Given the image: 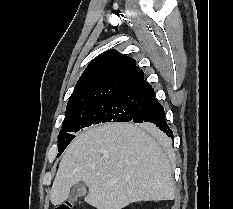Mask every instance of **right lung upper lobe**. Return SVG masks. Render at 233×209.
Instances as JSON below:
<instances>
[{
    "label": "right lung upper lobe",
    "mask_w": 233,
    "mask_h": 209,
    "mask_svg": "<svg viewBox=\"0 0 233 209\" xmlns=\"http://www.w3.org/2000/svg\"><path fill=\"white\" fill-rule=\"evenodd\" d=\"M155 99L144 72L133 58L116 50L97 56L85 69L68 101L66 111L81 105L118 100L146 105Z\"/></svg>",
    "instance_id": "cb5924a9"
}]
</instances>
